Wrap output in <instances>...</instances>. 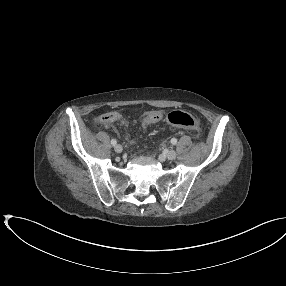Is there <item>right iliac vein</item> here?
Wrapping results in <instances>:
<instances>
[{"label": "right iliac vein", "instance_id": "1", "mask_svg": "<svg viewBox=\"0 0 286 286\" xmlns=\"http://www.w3.org/2000/svg\"><path fill=\"white\" fill-rule=\"evenodd\" d=\"M114 149L117 153H121L123 150V147L120 144H117V145H115Z\"/></svg>", "mask_w": 286, "mask_h": 286}]
</instances>
